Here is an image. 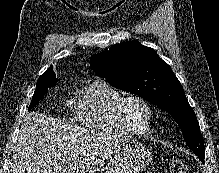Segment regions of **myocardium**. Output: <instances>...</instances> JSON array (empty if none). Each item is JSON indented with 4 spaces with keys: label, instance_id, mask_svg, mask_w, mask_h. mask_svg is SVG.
<instances>
[{
    "label": "myocardium",
    "instance_id": "f54148a6",
    "mask_svg": "<svg viewBox=\"0 0 219 173\" xmlns=\"http://www.w3.org/2000/svg\"><path fill=\"white\" fill-rule=\"evenodd\" d=\"M129 101H137L141 103L148 111L149 114V121L147 125V129L145 131H139L132 127L125 119L124 116V109L125 105ZM114 117L117 122V124L127 133L133 136L137 137H144L148 136L152 133L153 130V122L155 119V112L152 104L144 97L138 95V94H128L121 96L119 100L114 105Z\"/></svg>",
    "mask_w": 219,
    "mask_h": 173
}]
</instances>
